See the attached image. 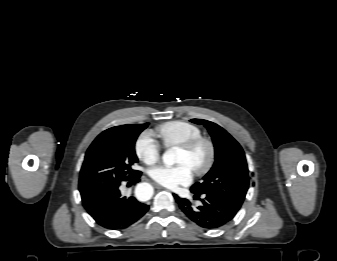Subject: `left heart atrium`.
Wrapping results in <instances>:
<instances>
[{
	"label": "left heart atrium",
	"instance_id": "1",
	"mask_svg": "<svg viewBox=\"0 0 337 261\" xmlns=\"http://www.w3.org/2000/svg\"><path fill=\"white\" fill-rule=\"evenodd\" d=\"M149 175L154 181L168 188L187 185L193 177L192 169L186 164L158 165L149 170Z\"/></svg>",
	"mask_w": 337,
	"mask_h": 261
}]
</instances>
